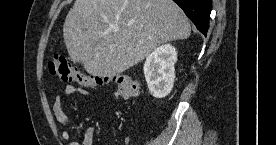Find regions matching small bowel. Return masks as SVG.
I'll list each match as a JSON object with an SVG mask.
<instances>
[{
  "instance_id": "small-bowel-1",
  "label": "small bowel",
  "mask_w": 276,
  "mask_h": 145,
  "mask_svg": "<svg viewBox=\"0 0 276 145\" xmlns=\"http://www.w3.org/2000/svg\"><path fill=\"white\" fill-rule=\"evenodd\" d=\"M68 95H79V96H87L89 95V92L81 87H76L74 85H66L63 92L61 94H57L54 97L53 104H52V111L54 114L55 119L57 122L64 126H68L71 124L70 119L66 115L63 109V98L64 96ZM95 129L92 127H89L84 132V138L81 145H93L94 136H95ZM62 138L65 141H70L71 135L69 131L65 130L62 133ZM69 145H79L77 142L70 141Z\"/></svg>"
}]
</instances>
